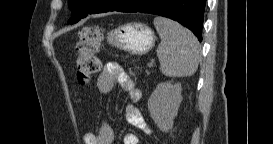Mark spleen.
<instances>
[{
    "label": "spleen",
    "instance_id": "3e777b00",
    "mask_svg": "<svg viewBox=\"0 0 273 144\" xmlns=\"http://www.w3.org/2000/svg\"><path fill=\"white\" fill-rule=\"evenodd\" d=\"M154 26L161 38L157 56L162 73L167 77L192 76L200 59L199 43L193 33L160 16L154 18Z\"/></svg>",
    "mask_w": 273,
    "mask_h": 144
}]
</instances>
